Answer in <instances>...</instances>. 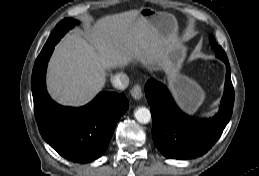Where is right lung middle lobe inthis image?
I'll use <instances>...</instances> for the list:
<instances>
[{"label":"right lung middle lobe","mask_w":259,"mask_h":176,"mask_svg":"<svg viewBox=\"0 0 259 176\" xmlns=\"http://www.w3.org/2000/svg\"><path fill=\"white\" fill-rule=\"evenodd\" d=\"M79 24V21L74 19H64L58 23L52 32L51 36L47 40L44 47L49 46L52 43H57L61 37L72 27Z\"/></svg>","instance_id":"1"}]
</instances>
